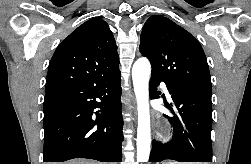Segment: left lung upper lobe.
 <instances>
[{"label":"left lung upper lobe","instance_id":"1","mask_svg":"<svg viewBox=\"0 0 251 164\" xmlns=\"http://www.w3.org/2000/svg\"><path fill=\"white\" fill-rule=\"evenodd\" d=\"M139 50L150 60L152 73L211 93L209 68L200 43L170 19L151 16L143 26Z\"/></svg>","mask_w":251,"mask_h":164}]
</instances>
